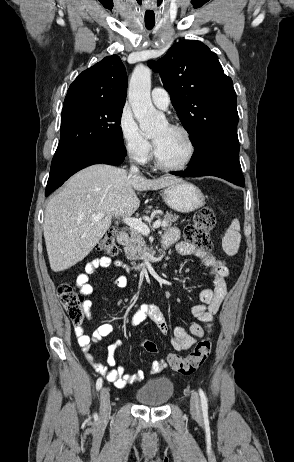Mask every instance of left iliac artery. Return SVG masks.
Listing matches in <instances>:
<instances>
[{
	"label": "left iliac artery",
	"mask_w": 294,
	"mask_h": 462,
	"mask_svg": "<svg viewBox=\"0 0 294 462\" xmlns=\"http://www.w3.org/2000/svg\"><path fill=\"white\" fill-rule=\"evenodd\" d=\"M199 395H200V398H201L202 409L204 411H207V409H208L207 397H206L204 391L201 388L199 389Z\"/></svg>",
	"instance_id": "44dca946"
}]
</instances>
